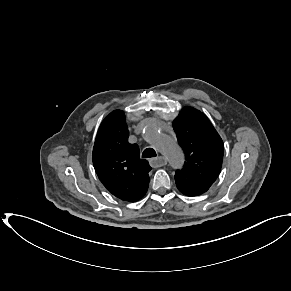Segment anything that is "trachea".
Returning <instances> with one entry per match:
<instances>
[{
    "label": "trachea",
    "instance_id": "obj_1",
    "mask_svg": "<svg viewBox=\"0 0 291 291\" xmlns=\"http://www.w3.org/2000/svg\"><path fill=\"white\" fill-rule=\"evenodd\" d=\"M143 158H151V157H156V152L152 148H147L143 151L142 153Z\"/></svg>",
    "mask_w": 291,
    "mask_h": 291
}]
</instances>
